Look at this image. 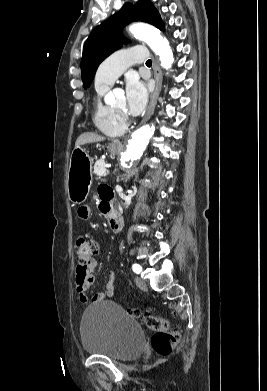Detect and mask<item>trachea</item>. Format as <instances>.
Here are the masks:
<instances>
[{"instance_id":"obj_1","label":"trachea","mask_w":267,"mask_h":391,"mask_svg":"<svg viewBox=\"0 0 267 391\" xmlns=\"http://www.w3.org/2000/svg\"><path fill=\"white\" fill-rule=\"evenodd\" d=\"M151 64H152V62H151L150 59L146 61V65H147V66H151Z\"/></svg>"}]
</instances>
